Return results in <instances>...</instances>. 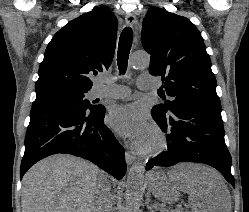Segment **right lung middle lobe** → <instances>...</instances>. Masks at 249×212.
<instances>
[{"instance_id":"1","label":"right lung middle lobe","mask_w":249,"mask_h":212,"mask_svg":"<svg viewBox=\"0 0 249 212\" xmlns=\"http://www.w3.org/2000/svg\"><path fill=\"white\" fill-rule=\"evenodd\" d=\"M86 91H55L36 96L32 107L35 106H69L93 110L96 106L85 99Z\"/></svg>"}]
</instances>
